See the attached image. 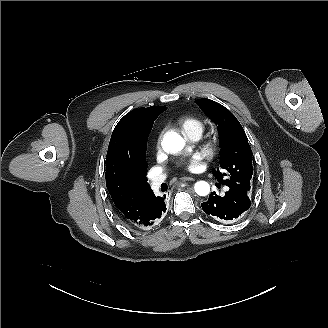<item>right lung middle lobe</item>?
Returning a JSON list of instances; mask_svg holds the SVG:
<instances>
[{
	"instance_id": "1",
	"label": "right lung middle lobe",
	"mask_w": 328,
	"mask_h": 328,
	"mask_svg": "<svg viewBox=\"0 0 328 328\" xmlns=\"http://www.w3.org/2000/svg\"><path fill=\"white\" fill-rule=\"evenodd\" d=\"M157 117L149 114L140 118L131 126L127 140L132 157L145 178L147 174V162L145 158L147 139Z\"/></svg>"
}]
</instances>
